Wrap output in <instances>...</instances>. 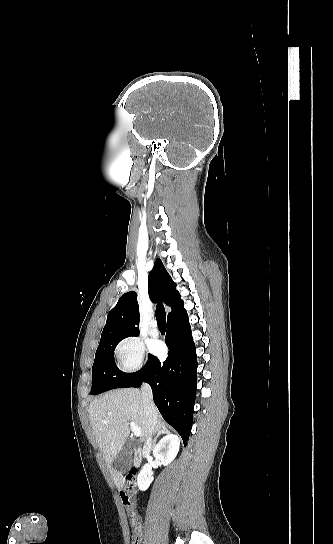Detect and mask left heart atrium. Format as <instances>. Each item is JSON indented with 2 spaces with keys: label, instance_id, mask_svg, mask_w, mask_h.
<instances>
[{
  "label": "left heart atrium",
  "instance_id": "1",
  "mask_svg": "<svg viewBox=\"0 0 333 544\" xmlns=\"http://www.w3.org/2000/svg\"><path fill=\"white\" fill-rule=\"evenodd\" d=\"M151 350L153 353L160 354L163 351V346L159 341H154L151 344Z\"/></svg>",
  "mask_w": 333,
  "mask_h": 544
}]
</instances>
